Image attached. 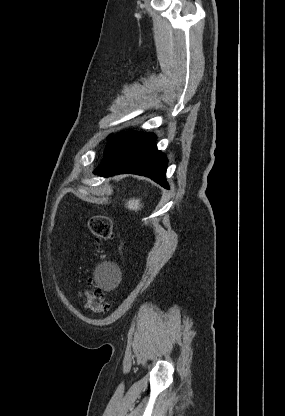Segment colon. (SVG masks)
<instances>
[{
  "mask_svg": "<svg viewBox=\"0 0 285 416\" xmlns=\"http://www.w3.org/2000/svg\"><path fill=\"white\" fill-rule=\"evenodd\" d=\"M89 229L98 243L108 240L112 236V220L106 215H96L89 220ZM87 307L96 314H103L109 310V303L103 291L93 284L83 289Z\"/></svg>",
  "mask_w": 285,
  "mask_h": 416,
  "instance_id": "colon-1",
  "label": "colon"
}]
</instances>
